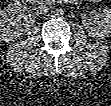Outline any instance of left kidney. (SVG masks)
<instances>
[{"instance_id":"1","label":"left kidney","mask_w":111,"mask_h":106,"mask_svg":"<svg viewBox=\"0 0 111 106\" xmlns=\"http://www.w3.org/2000/svg\"><path fill=\"white\" fill-rule=\"evenodd\" d=\"M87 31L92 37L111 36V9L101 8L93 23L87 26Z\"/></svg>"}]
</instances>
